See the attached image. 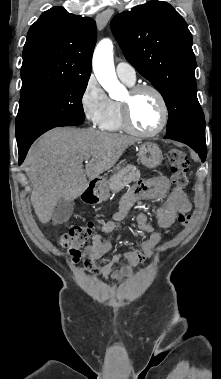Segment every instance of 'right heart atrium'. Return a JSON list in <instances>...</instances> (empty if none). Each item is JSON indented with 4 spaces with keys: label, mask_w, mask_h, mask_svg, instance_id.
<instances>
[{
    "label": "right heart atrium",
    "mask_w": 221,
    "mask_h": 379,
    "mask_svg": "<svg viewBox=\"0 0 221 379\" xmlns=\"http://www.w3.org/2000/svg\"><path fill=\"white\" fill-rule=\"evenodd\" d=\"M111 99L91 76L85 83L80 97V105L86 119L94 126H100L108 114Z\"/></svg>",
    "instance_id": "1"
}]
</instances>
